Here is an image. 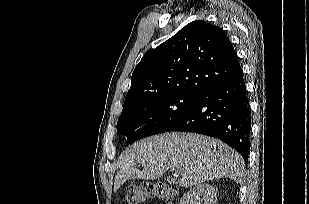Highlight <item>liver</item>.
Returning a JSON list of instances; mask_svg holds the SVG:
<instances>
[{
    "instance_id": "liver-1",
    "label": "liver",
    "mask_w": 309,
    "mask_h": 204,
    "mask_svg": "<svg viewBox=\"0 0 309 204\" xmlns=\"http://www.w3.org/2000/svg\"><path fill=\"white\" fill-rule=\"evenodd\" d=\"M144 166L143 170L136 168ZM114 191L130 179L155 180L175 170L182 187L229 177L240 182L245 164L242 157L218 139L194 133H164L134 143L122 155Z\"/></svg>"
}]
</instances>
